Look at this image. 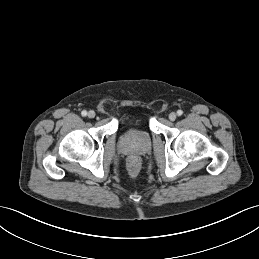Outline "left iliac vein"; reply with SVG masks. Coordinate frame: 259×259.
Here are the masks:
<instances>
[{
	"instance_id": "4c4485c4",
	"label": "left iliac vein",
	"mask_w": 259,
	"mask_h": 259,
	"mask_svg": "<svg viewBox=\"0 0 259 259\" xmlns=\"http://www.w3.org/2000/svg\"><path fill=\"white\" fill-rule=\"evenodd\" d=\"M176 118H177L176 113L172 112V113L169 114V119H170L171 121H174Z\"/></svg>"
}]
</instances>
